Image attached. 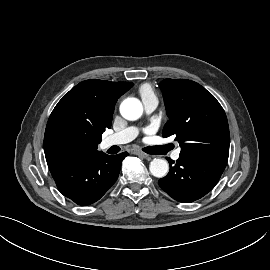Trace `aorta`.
Listing matches in <instances>:
<instances>
[{"instance_id":"obj_1","label":"aorta","mask_w":270,"mask_h":270,"mask_svg":"<svg viewBox=\"0 0 270 270\" xmlns=\"http://www.w3.org/2000/svg\"><path fill=\"white\" fill-rule=\"evenodd\" d=\"M120 113L127 120H137L143 114L142 103L137 98H126L120 104ZM149 169L153 176L162 178L168 173L169 164L164 159H153L150 163Z\"/></svg>"}]
</instances>
